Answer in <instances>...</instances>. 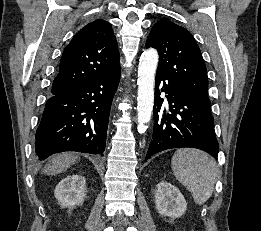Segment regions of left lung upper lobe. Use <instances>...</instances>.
Masks as SVG:
<instances>
[{
    "mask_svg": "<svg viewBox=\"0 0 261 231\" xmlns=\"http://www.w3.org/2000/svg\"><path fill=\"white\" fill-rule=\"evenodd\" d=\"M146 47L159 52L157 72L170 78L189 98L210 105L206 66L189 31L163 18L152 27Z\"/></svg>",
    "mask_w": 261,
    "mask_h": 231,
    "instance_id": "left-lung-upper-lobe-1",
    "label": "left lung upper lobe"
}]
</instances>
